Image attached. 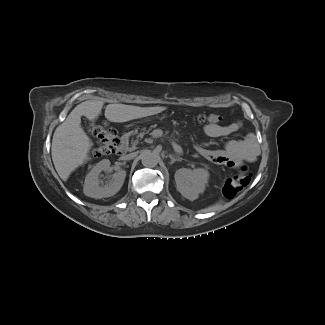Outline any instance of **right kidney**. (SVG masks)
<instances>
[{
    "instance_id": "1",
    "label": "right kidney",
    "mask_w": 325,
    "mask_h": 325,
    "mask_svg": "<svg viewBox=\"0 0 325 325\" xmlns=\"http://www.w3.org/2000/svg\"><path fill=\"white\" fill-rule=\"evenodd\" d=\"M109 168L110 161L108 159H104L93 166L84 182L83 192L86 196L101 199L103 197H111L121 189L126 177V171L122 169L113 175L109 184L100 185L99 175L101 171H108Z\"/></svg>"
}]
</instances>
